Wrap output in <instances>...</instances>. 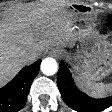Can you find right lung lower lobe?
Masks as SVG:
<instances>
[{
  "label": "right lung lower lobe",
  "mask_w": 112,
  "mask_h": 112,
  "mask_svg": "<svg viewBox=\"0 0 112 112\" xmlns=\"http://www.w3.org/2000/svg\"><path fill=\"white\" fill-rule=\"evenodd\" d=\"M41 60L24 67L7 85L0 89V112L21 110L30 91V86L39 72Z\"/></svg>",
  "instance_id": "1"
}]
</instances>
